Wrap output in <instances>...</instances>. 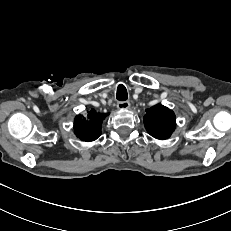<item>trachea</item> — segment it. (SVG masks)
Segmentation results:
<instances>
[{
  "instance_id": "1",
  "label": "trachea",
  "mask_w": 231,
  "mask_h": 231,
  "mask_svg": "<svg viewBox=\"0 0 231 231\" xmlns=\"http://www.w3.org/2000/svg\"><path fill=\"white\" fill-rule=\"evenodd\" d=\"M117 100L119 101H125L128 99V94H127V90L125 88L124 85L120 84L117 87V96H116Z\"/></svg>"
}]
</instances>
